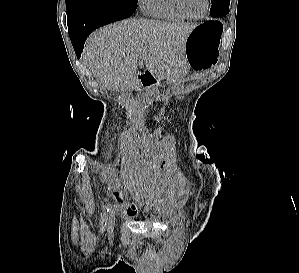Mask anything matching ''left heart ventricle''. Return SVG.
<instances>
[{"mask_svg": "<svg viewBox=\"0 0 299 273\" xmlns=\"http://www.w3.org/2000/svg\"><path fill=\"white\" fill-rule=\"evenodd\" d=\"M186 11L192 16L201 15L206 7L205 0H182Z\"/></svg>", "mask_w": 299, "mask_h": 273, "instance_id": "obj_1", "label": "left heart ventricle"}]
</instances>
